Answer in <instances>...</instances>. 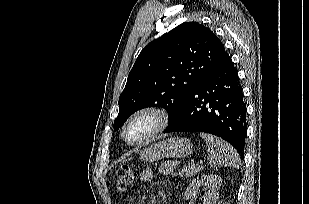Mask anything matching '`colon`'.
Listing matches in <instances>:
<instances>
[{
  "instance_id": "colon-1",
  "label": "colon",
  "mask_w": 309,
  "mask_h": 204,
  "mask_svg": "<svg viewBox=\"0 0 309 204\" xmlns=\"http://www.w3.org/2000/svg\"><path fill=\"white\" fill-rule=\"evenodd\" d=\"M135 179V172L129 166H123L116 175V187L118 191H126Z\"/></svg>"
}]
</instances>
